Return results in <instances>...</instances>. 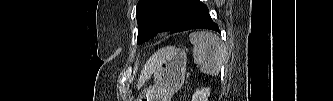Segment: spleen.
Masks as SVG:
<instances>
[{
    "mask_svg": "<svg viewBox=\"0 0 333 101\" xmlns=\"http://www.w3.org/2000/svg\"><path fill=\"white\" fill-rule=\"evenodd\" d=\"M194 46V62L200 66L202 73L217 75L226 59L227 51L220 38L211 32H196L189 35Z\"/></svg>",
    "mask_w": 333,
    "mask_h": 101,
    "instance_id": "3e777b00",
    "label": "spleen"
}]
</instances>
